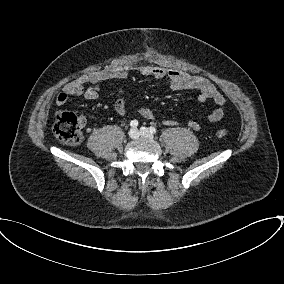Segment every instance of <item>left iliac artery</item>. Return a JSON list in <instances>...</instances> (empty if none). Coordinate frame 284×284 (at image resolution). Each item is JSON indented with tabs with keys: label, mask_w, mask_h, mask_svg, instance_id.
<instances>
[{
	"label": "left iliac artery",
	"mask_w": 284,
	"mask_h": 284,
	"mask_svg": "<svg viewBox=\"0 0 284 284\" xmlns=\"http://www.w3.org/2000/svg\"><path fill=\"white\" fill-rule=\"evenodd\" d=\"M150 132L152 133V134H155L156 133V128L155 127H150Z\"/></svg>",
	"instance_id": "obj_1"
}]
</instances>
